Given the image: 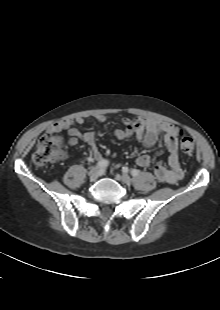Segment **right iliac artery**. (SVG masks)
Returning a JSON list of instances; mask_svg holds the SVG:
<instances>
[{
    "label": "right iliac artery",
    "instance_id": "obj_1",
    "mask_svg": "<svg viewBox=\"0 0 220 310\" xmlns=\"http://www.w3.org/2000/svg\"><path fill=\"white\" fill-rule=\"evenodd\" d=\"M107 166H108V161L104 159V160H102V161H99V162L97 163V165H96L95 167H93V169L91 170V172L94 171V170H96V169H105Z\"/></svg>",
    "mask_w": 220,
    "mask_h": 310
}]
</instances>
